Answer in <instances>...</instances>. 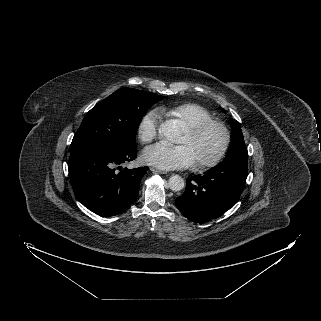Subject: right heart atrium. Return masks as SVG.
Returning <instances> with one entry per match:
<instances>
[{"label": "right heart atrium", "instance_id": "1", "mask_svg": "<svg viewBox=\"0 0 321 321\" xmlns=\"http://www.w3.org/2000/svg\"><path fill=\"white\" fill-rule=\"evenodd\" d=\"M159 116L158 110H151L141 118L137 133L142 142L148 143L157 137Z\"/></svg>", "mask_w": 321, "mask_h": 321}]
</instances>
